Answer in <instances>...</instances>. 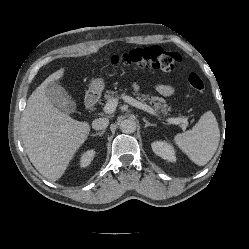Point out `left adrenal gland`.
Returning a JSON list of instances; mask_svg holds the SVG:
<instances>
[{"label": "left adrenal gland", "instance_id": "1", "mask_svg": "<svg viewBox=\"0 0 249 249\" xmlns=\"http://www.w3.org/2000/svg\"><path fill=\"white\" fill-rule=\"evenodd\" d=\"M143 121L145 122V128H147L148 126H156V124H151V123L148 122V120H146L145 118H143Z\"/></svg>", "mask_w": 249, "mask_h": 249}]
</instances>
